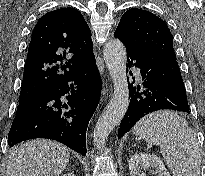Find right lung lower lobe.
<instances>
[{
	"instance_id": "1",
	"label": "right lung lower lobe",
	"mask_w": 205,
	"mask_h": 176,
	"mask_svg": "<svg viewBox=\"0 0 205 176\" xmlns=\"http://www.w3.org/2000/svg\"><path fill=\"white\" fill-rule=\"evenodd\" d=\"M95 58L74 68L17 109L8 145L48 138L86 155V130L101 92ZM66 96L67 103L60 100Z\"/></svg>"
}]
</instances>
